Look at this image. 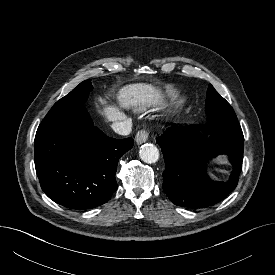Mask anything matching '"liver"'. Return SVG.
Wrapping results in <instances>:
<instances>
[{"label": "liver", "instance_id": "1", "mask_svg": "<svg viewBox=\"0 0 275 275\" xmlns=\"http://www.w3.org/2000/svg\"><path fill=\"white\" fill-rule=\"evenodd\" d=\"M117 99L123 108H130L137 105L155 107L162 102L160 89L145 83L130 84L123 87L119 90ZM104 114L108 121L113 122L125 118L123 112L112 106L104 108Z\"/></svg>", "mask_w": 275, "mask_h": 275}]
</instances>
